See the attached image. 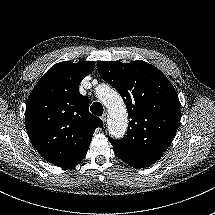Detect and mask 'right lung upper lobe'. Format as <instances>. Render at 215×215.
I'll use <instances>...</instances> for the list:
<instances>
[{
  "label": "right lung upper lobe",
  "instance_id": "cb5924a9",
  "mask_svg": "<svg viewBox=\"0 0 215 215\" xmlns=\"http://www.w3.org/2000/svg\"><path fill=\"white\" fill-rule=\"evenodd\" d=\"M95 62L53 65L32 90L26 104L25 124L34 148L48 162L72 167L85 157L102 120L89 113V101L78 90Z\"/></svg>",
  "mask_w": 215,
  "mask_h": 215
}]
</instances>
